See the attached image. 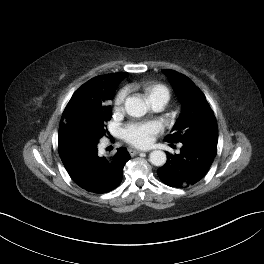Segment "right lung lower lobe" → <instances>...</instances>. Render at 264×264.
<instances>
[{"mask_svg":"<svg viewBox=\"0 0 264 264\" xmlns=\"http://www.w3.org/2000/svg\"><path fill=\"white\" fill-rule=\"evenodd\" d=\"M59 155L73 181L92 193H106L117 188L123 176V167L130 159L125 147L111 156L98 152L99 140L72 138L58 140Z\"/></svg>","mask_w":264,"mask_h":264,"instance_id":"right-lung-lower-lobe-1","label":"right lung lower lobe"}]
</instances>
